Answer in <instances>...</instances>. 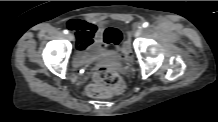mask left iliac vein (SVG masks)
Listing matches in <instances>:
<instances>
[{
    "instance_id": "obj_1",
    "label": "left iliac vein",
    "mask_w": 218,
    "mask_h": 122,
    "mask_svg": "<svg viewBox=\"0 0 218 122\" xmlns=\"http://www.w3.org/2000/svg\"><path fill=\"white\" fill-rule=\"evenodd\" d=\"M142 33H143V28H142V27H139V28L136 30V32H135V36H136V37H139V36L142 35Z\"/></svg>"
}]
</instances>
